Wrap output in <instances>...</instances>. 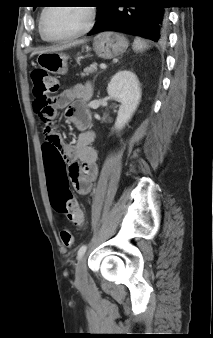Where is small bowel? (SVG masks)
Masks as SVG:
<instances>
[{"mask_svg": "<svg viewBox=\"0 0 213 338\" xmlns=\"http://www.w3.org/2000/svg\"><path fill=\"white\" fill-rule=\"evenodd\" d=\"M91 97V88L75 84L62 91L54 102L55 108H67L66 117L82 130L75 145L61 143L48 149L43 145L44 165L48 178V188L57 184L72 182L79 195H87L98 174L97 151L92 147L95 134L87 130L90 118L86 110L79 107Z\"/></svg>", "mask_w": 213, "mask_h": 338, "instance_id": "c3829d8e", "label": "small bowel"}]
</instances>
